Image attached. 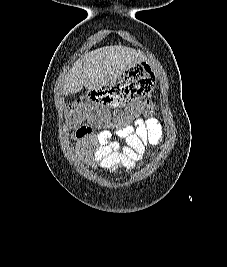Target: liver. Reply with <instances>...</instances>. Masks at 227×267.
<instances>
[{
    "mask_svg": "<svg viewBox=\"0 0 227 267\" xmlns=\"http://www.w3.org/2000/svg\"><path fill=\"white\" fill-rule=\"evenodd\" d=\"M140 53L121 45L106 46L88 53L82 61L76 62L66 74L63 84V94H74L86 88L104 87L105 82H111V77H119L142 60ZM83 65V67H82Z\"/></svg>",
    "mask_w": 227,
    "mask_h": 267,
    "instance_id": "obj_1",
    "label": "liver"
}]
</instances>
